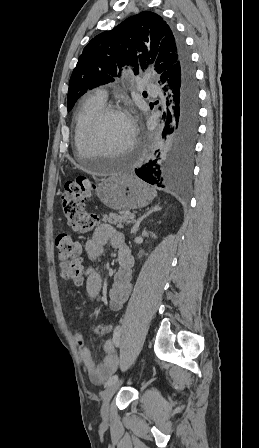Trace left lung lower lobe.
<instances>
[{
    "label": "left lung lower lobe",
    "instance_id": "1",
    "mask_svg": "<svg viewBox=\"0 0 259 448\" xmlns=\"http://www.w3.org/2000/svg\"><path fill=\"white\" fill-rule=\"evenodd\" d=\"M181 56L161 75L172 91V111L163 114L166 140L162 153L135 173L144 181L170 191L184 189L191 178L195 138L198 128V89L190 55L177 36ZM164 90H167L166 86ZM169 101H167V106Z\"/></svg>",
    "mask_w": 259,
    "mask_h": 448
}]
</instances>
